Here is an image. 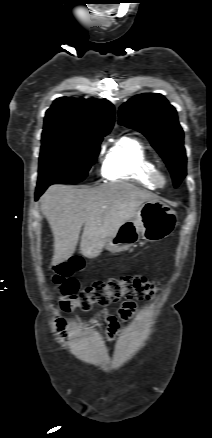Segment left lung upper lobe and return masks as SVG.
<instances>
[{
	"instance_id": "left-lung-upper-lobe-1",
	"label": "left lung upper lobe",
	"mask_w": 212,
	"mask_h": 438,
	"mask_svg": "<svg viewBox=\"0 0 212 438\" xmlns=\"http://www.w3.org/2000/svg\"><path fill=\"white\" fill-rule=\"evenodd\" d=\"M119 123L143 133L160 154L177 187L186 175L183 130L175 108L161 94H141L120 107Z\"/></svg>"
}]
</instances>
